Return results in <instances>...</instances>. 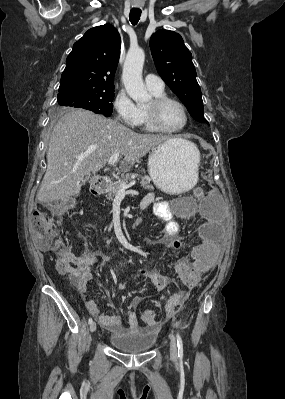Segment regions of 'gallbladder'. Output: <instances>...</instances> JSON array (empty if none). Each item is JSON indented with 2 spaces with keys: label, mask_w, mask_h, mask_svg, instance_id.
Masks as SVG:
<instances>
[{
  "label": "gallbladder",
  "mask_w": 285,
  "mask_h": 399,
  "mask_svg": "<svg viewBox=\"0 0 285 399\" xmlns=\"http://www.w3.org/2000/svg\"><path fill=\"white\" fill-rule=\"evenodd\" d=\"M90 179V176H87L86 178H85V180H89Z\"/></svg>",
  "instance_id": "obj_1"
}]
</instances>
